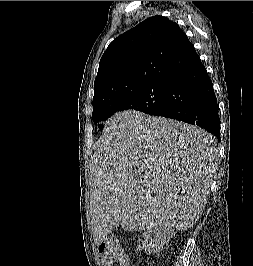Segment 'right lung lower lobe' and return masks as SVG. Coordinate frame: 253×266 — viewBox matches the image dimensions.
I'll list each match as a JSON object with an SVG mask.
<instances>
[{
	"mask_svg": "<svg viewBox=\"0 0 253 266\" xmlns=\"http://www.w3.org/2000/svg\"><path fill=\"white\" fill-rule=\"evenodd\" d=\"M163 116L198 125L220 141V119L213 85L200 58L175 73L167 82Z\"/></svg>",
	"mask_w": 253,
	"mask_h": 266,
	"instance_id": "1",
	"label": "right lung lower lobe"
}]
</instances>
